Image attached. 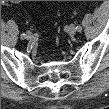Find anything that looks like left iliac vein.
I'll return each instance as SVG.
<instances>
[{
	"label": "left iliac vein",
	"instance_id": "obj_1",
	"mask_svg": "<svg viewBox=\"0 0 109 109\" xmlns=\"http://www.w3.org/2000/svg\"><path fill=\"white\" fill-rule=\"evenodd\" d=\"M77 32V29H76V26L74 24H71L69 27H68V33L70 36H74Z\"/></svg>",
	"mask_w": 109,
	"mask_h": 109
}]
</instances>
